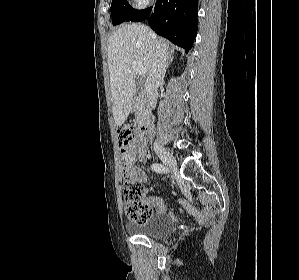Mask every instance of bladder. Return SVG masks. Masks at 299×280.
Segmentation results:
<instances>
[{
	"mask_svg": "<svg viewBox=\"0 0 299 280\" xmlns=\"http://www.w3.org/2000/svg\"><path fill=\"white\" fill-rule=\"evenodd\" d=\"M126 229L131 235L159 239L168 236L172 232L173 222L164 214H156L143 223L128 224Z\"/></svg>",
	"mask_w": 299,
	"mask_h": 280,
	"instance_id": "bladder-1",
	"label": "bladder"
}]
</instances>
